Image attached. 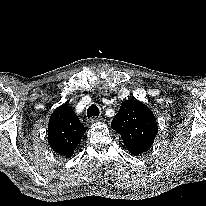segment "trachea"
Segmentation results:
<instances>
[{"label":"trachea","instance_id":"trachea-1","mask_svg":"<svg viewBox=\"0 0 206 206\" xmlns=\"http://www.w3.org/2000/svg\"><path fill=\"white\" fill-rule=\"evenodd\" d=\"M99 108L95 105L92 104L88 109H87V117H98L99 116Z\"/></svg>","mask_w":206,"mask_h":206}]
</instances>
